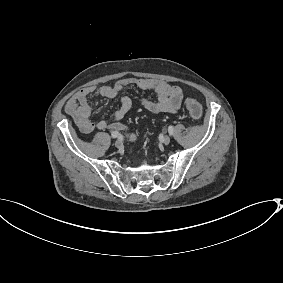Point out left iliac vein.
I'll return each mask as SVG.
<instances>
[{"mask_svg": "<svg viewBox=\"0 0 283 283\" xmlns=\"http://www.w3.org/2000/svg\"><path fill=\"white\" fill-rule=\"evenodd\" d=\"M162 143L164 145H168L170 143V137L165 135L163 138H162Z\"/></svg>", "mask_w": 283, "mask_h": 283, "instance_id": "4c4485c4", "label": "left iliac vein"}]
</instances>
